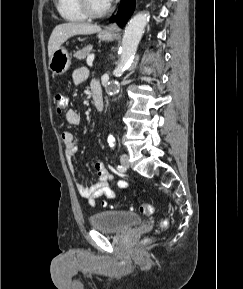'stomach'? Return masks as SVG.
I'll use <instances>...</instances> for the list:
<instances>
[{
	"label": "stomach",
	"instance_id": "obj_1",
	"mask_svg": "<svg viewBox=\"0 0 243 289\" xmlns=\"http://www.w3.org/2000/svg\"><path fill=\"white\" fill-rule=\"evenodd\" d=\"M98 37L103 41L114 40V35L108 34L105 31H100L98 33ZM70 63V55L68 54L67 50L64 47H59L49 58V69L53 74L61 75L68 70Z\"/></svg>",
	"mask_w": 243,
	"mask_h": 289
}]
</instances>
